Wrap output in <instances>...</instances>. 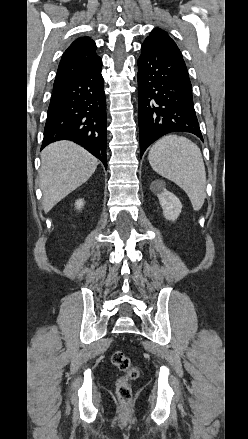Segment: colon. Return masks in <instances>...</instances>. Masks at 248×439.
Masks as SVG:
<instances>
[{"mask_svg": "<svg viewBox=\"0 0 248 439\" xmlns=\"http://www.w3.org/2000/svg\"><path fill=\"white\" fill-rule=\"evenodd\" d=\"M112 364L124 374L117 380L116 394L120 402L128 403L132 398L131 382L139 377V370L121 351H116L111 357Z\"/></svg>", "mask_w": 248, "mask_h": 439, "instance_id": "obj_1", "label": "colon"}]
</instances>
